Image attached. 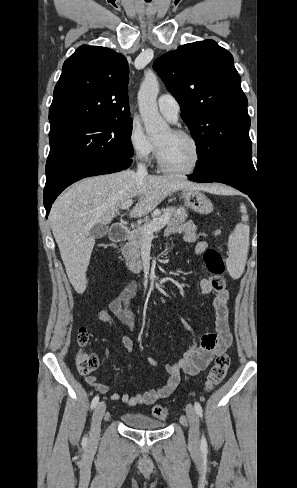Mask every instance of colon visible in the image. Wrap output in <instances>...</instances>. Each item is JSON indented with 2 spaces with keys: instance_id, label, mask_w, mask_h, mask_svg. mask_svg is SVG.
I'll return each instance as SVG.
<instances>
[{
  "instance_id": "5ec220e1",
  "label": "colon",
  "mask_w": 297,
  "mask_h": 488,
  "mask_svg": "<svg viewBox=\"0 0 297 488\" xmlns=\"http://www.w3.org/2000/svg\"><path fill=\"white\" fill-rule=\"evenodd\" d=\"M103 249L111 248V244L103 243L100 244ZM204 261L207 270L211 274L210 280L216 291H223L225 289V280L223 278L224 264L220 254L213 250H207L204 254ZM77 341L79 345V350L76 355V366L78 371L82 375H89L98 366L97 357L88 352L85 349V345L88 341V334L86 327L82 326L78 330ZM230 366V357L226 353L219 354L207 375L206 379V389L208 391L219 385ZM152 415L155 418L164 419L167 416V408L163 405L157 404L152 408Z\"/></svg>"
}]
</instances>
